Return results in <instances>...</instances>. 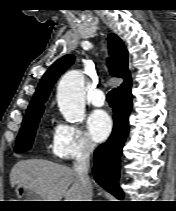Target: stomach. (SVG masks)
<instances>
[{
  "instance_id": "stomach-1",
  "label": "stomach",
  "mask_w": 176,
  "mask_h": 211,
  "mask_svg": "<svg viewBox=\"0 0 176 211\" xmlns=\"http://www.w3.org/2000/svg\"><path fill=\"white\" fill-rule=\"evenodd\" d=\"M15 194L20 199L18 201H44L35 191L23 184L16 185Z\"/></svg>"
}]
</instances>
